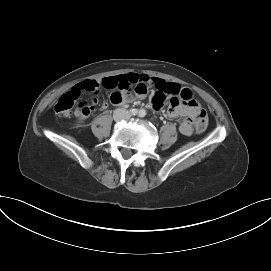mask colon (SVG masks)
Returning a JSON list of instances; mask_svg holds the SVG:
<instances>
[{
	"label": "colon",
	"instance_id": "1",
	"mask_svg": "<svg viewBox=\"0 0 271 271\" xmlns=\"http://www.w3.org/2000/svg\"><path fill=\"white\" fill-rule=\"evenodd\" d=\"M80 88H74L72 91L67 92L63 94L55 104L54 110L57 114L62 115V116H69L72 113V110L79 98V95L81 93ZM87 91H94L93 86H88ZM178 99V98H177ZM181 99L184 101H191L195 102L194 99H191L187 95H182ZM194 124H195V129L197 133H202L205 131L207 124H208V119H207V114L204 109H200L197 114L194 117Z\"/></svg>",
	"mask_w": 271,
	"mask_h": 271
}]
</instances>
